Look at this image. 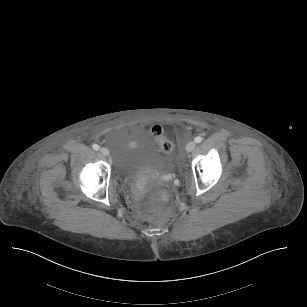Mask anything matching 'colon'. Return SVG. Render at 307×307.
<instances>
[{"mask_svg": "<svg viewBox=\"0 0 307 307\" xmlns=\"http://www.w3.org/2000/svg\"><path fill=\"white\" fill-rule=\"evenodd\" d=\"M152 132L158 140L160 148L164 152H170L174 148V143L164 134V130L160 125L152 127ZM146 200L151 205L165 206L169 202V194L165 190H151L146 195Z\"/></svg>", "mask_w": 307, "mask_h": 307, "instance_id": "obj_1", "label": "colon"}]
</instances>
